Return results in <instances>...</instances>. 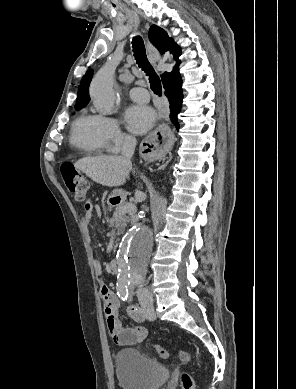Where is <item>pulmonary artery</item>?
Returning <instances> with one entry per match:
<instances>
[{"instance_id": "1", "label": "pulmonary artery", "mask_w": 296, "mask_h": 389, "mask_svg": "<svg viewBox=\"0 0 296 389\" xmlns=\"http://www.w3.org/2000/svg\"><path fill=\"white\" fill-rule=\"evenodd\" d=\"M129 96L132 100L139 103H147L149 101V94L145 88L135 87L129 91Z\"/></svg>"}]
</instances>
